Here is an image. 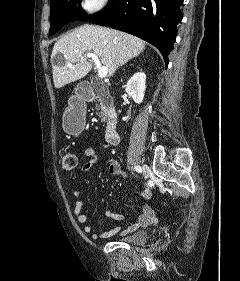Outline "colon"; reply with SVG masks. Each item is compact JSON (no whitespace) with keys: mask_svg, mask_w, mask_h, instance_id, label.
I'll return each mask as SVG.
<instances>
[{"mask_svg":"<svg viewBox=\"0 0 240 281\" xmlns=\"http://www.w3.org/2000/svg\"><path fill=\"white\" fill-rule=\"evenodd\" d=\"M61 168L66 171H71L77 168L79 164V158L73 151H66L61 157Z\"/></svg>","mask_w":240,"mask_h":281,"instance_id":"colon-1","label":"colon"}]
</instances>
